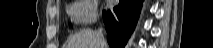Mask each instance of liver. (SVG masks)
Listing matches in <instances>:
<instances>
[{
    "instance_id": "6515ba94",
    "label": "liver",
    "mask_w": 213,
    "mask_h": 48,
    "mask_svg": "<svg viewBox=\"0 0 213 48\" xmlns=\"http://www.w3.org/2000/svg\"><path fill=\"white\" fill-rule=\"evenodd\" d=\"M64 48H101L97 33L93 30L84 29L69 37ZM104 48H107L105 45Z\"/></svg>"
}]
</instances>
